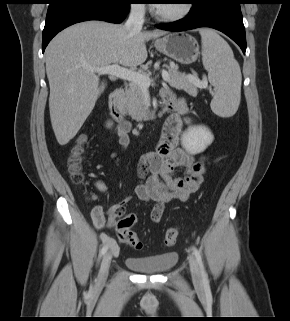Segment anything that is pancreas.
Here are the masks:
<instances>
[{
	"instance_id": "1",
	"label": "pancreas",
	"mask_w": 290,
	"mask_h": 321,
	"mask_svg": "<svg viewBox=\"0 0 290 321\" xmlns=\"http://www.w3.org/2000/svg\"><path fill=\"white\" fill-rule=\"evenodd\" d=\"M170 74L169 85L178 90H184L189 95L195 97L198 94V85L196 82L189 79L191 75H186L178 71V66L170 63L168 66ZM144 75L149 76L150 72L142 69L140 71ZM197 78V76H195ZM198 79V78H197ZM120 109L128 113L133 119H143L148 113V108L145 104L143 89L140 85L130 82L124 92L121 100Z\"/></svg>"
}]
</instances>
